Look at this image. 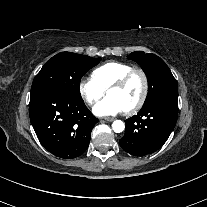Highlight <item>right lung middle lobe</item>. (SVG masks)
Returning <instances> with one entry per match:
<instances>
[{
  "instance_id": "1",
  "label": "right lung middle lobe",
  "mask_w": 207,
  "mask_h": 207,
  "mask_svg": "<svg viewBox=\"0 0 207 207\" xmlns=\"http://www.w3.org/2000/svg\"><path fill=\"white\" fill-rule=\"evenodd\" d=\"M100 60L71 52L59 53L48 60L35 76L31 93L38 90H57L82 100L79 90L81 78Z\"/></svg>"
}]
</instances>
